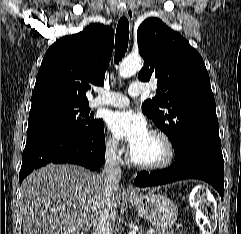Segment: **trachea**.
<instances>
[{"label": "trachea", "mask_w": 241, "mask_h": 234, "mask_svg": "<svg viewBox=\"0 0 241 234\" xmlns=\"http://www.w3.org/2000/svg\"><path fill=\"white\" fill-rule=\"evenodd\" d=\"M129 40V21L123 16L120 18L115 39V63L118 64L122 57L125 55L128 47Z\"/></svg>", "instance_id": "trachea-1"}]
</instances>
